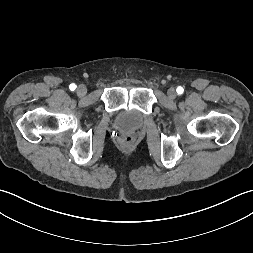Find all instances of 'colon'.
Returning a JSON list of instances; mask_svg holds the SVG:
<instances>
[{
	"instance_id": "5ec220e1",
	"label": "colon",
	"mask_w": 253,
	"mask_h": 253,
	"mask_svg": "<svg viewBox=\"0 0 253 253\" xmlns=\"http://www.w3.org/2000/svg\"><path fill=\"white\" fill-rule=\"evenodd\" d=\"M123 143L127 146L131 145L133 143V138L132 137H126L123 139Z\"/></svg>"
}]
</instances>
